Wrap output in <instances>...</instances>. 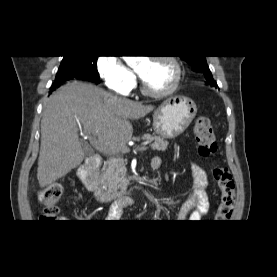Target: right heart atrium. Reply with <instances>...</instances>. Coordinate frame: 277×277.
<instances>
[{
    "label": "right heart atrium",
    "instance_id": "obj_1",
    "mask_svg": "<svg viewBox=\"0 0 277 277\" xmlns=\"http://www.w3.org/2000/svg\"><path fill=\"white\" fill-rule=\"evenodd\" d=\"M97 69L106 87L117 92H126L136 83L134 72L122 58L115 54H106L98 58Z\"/></svg>",
    "mask_w": 277,
    "mask_h": 277
}]
</instances>
